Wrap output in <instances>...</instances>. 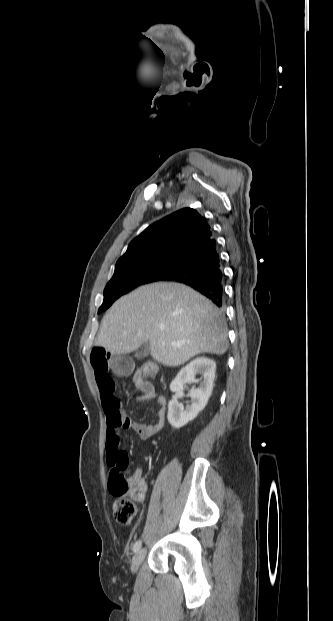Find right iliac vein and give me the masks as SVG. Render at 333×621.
I'll return each instance as SVG.
<instances>
[{"label":"right iliac vein","mask_w":333,"mask_h":621,"mask_svg":"<svg viewBox=\"0 0 333 621\" xmlns=\"http://www.w3.org/2000/svg\"><path fill=\"white\" fill-rule=\"evenodd\" d=\"M146 554V550L144 548L140 549L134 556L133 564H132V572L135 573L139 569L141 563L144 560Z\"/></svg>","instance_id":"1"}]
</instances>
